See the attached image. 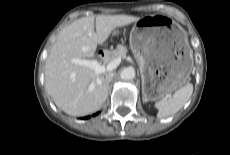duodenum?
Listing matches in <instances>:
<instances>
[{
	"label": "duodenum",
	"mask_w": 230,
	"mask_h": 155,
	"mask_svg": "<svg viewBox=\"0 0 230 155\" xmlns=\"http://www.w3.org/2000/svg\"><path fill=\"white\" fill-rule=\"evenodd\" d=\"M98 59L105 62L107 60L108 57V53L106 50H100L97 54Z\"/></svg>",
	"instance_id": "410a0bca"
}]
</instances>
